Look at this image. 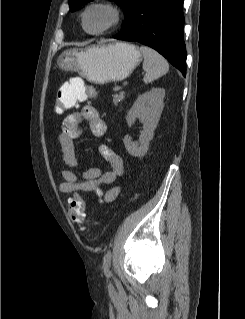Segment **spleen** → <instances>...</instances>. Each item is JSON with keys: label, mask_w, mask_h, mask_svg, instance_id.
<instances>
[{"label": "spleen", "mask_w": 245, "mask_h": 319, "mask_svg": "<svg viewBox=\"0 0 245 319\" xmlns=\"http://www.w3.org/2000/svg\"><path fill=\"white\" fill-rule=\"evenodd\" d=\"M144 62L143 69L146 74L143 78L145 84L151 83L169 71V65L166 59L154 49L141 46Z\"/></svg>", "instance_id": "obj_1"}]
</instances>
